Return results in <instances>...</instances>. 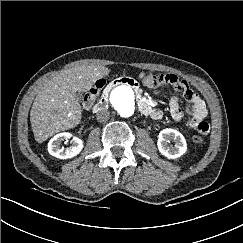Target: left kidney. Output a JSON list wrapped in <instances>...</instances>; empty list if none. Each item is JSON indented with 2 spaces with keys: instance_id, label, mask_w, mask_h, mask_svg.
<instances>
[{
  "instance_id": "1",
  "label": "left kidney",
  "mask_w": 243,
  "mask_h": 243,
  "mask_svg": "<svg viewBox=\"0 0 243 243\" xmlns=\"http://www.w3.org/2000/svg\"><path fill=\"white\" fill-rule=\"evenodd\" d=\"M170 141L175 142V146L169 145ZM159 152L168 159H176L185 154L187 143L184 136L177 130L166 128L160 131L157 141Z\"/></svg>"
}]
</instances>
